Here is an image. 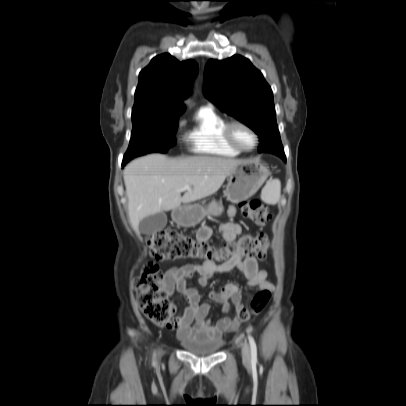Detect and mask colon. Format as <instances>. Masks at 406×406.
<instances>
[{
	"label": "colon",
	"mask_w": 406,
	"mask_h": 406,
	"mask_svg": "<svg viewBox=\"0 0 406 406\" xmlns=\"http://www.w3.org/2000/svg\"><path fill=\"white\" fill-rule=\"evenodd\" d=\"M241 215L257 225L271 221V212L258 199L243 201L240 204ZM151 257L156 261H175L180 259L215 260L225 263L230 260H242L244 257L265 259L268 254L269 240L263 234L242 235L237 240L216 249L202 241L175 230L159 231L147 239ZM141 311L152 322L168 326L172 320V304L167 298L164 275L154 262L145 263L140 275L134 282ZM270 299V291L262 289L252 298L248 307L238 313L241 322L262 312Z\"/></svg>",
	"instance_id": "1"
}]
</instances>
